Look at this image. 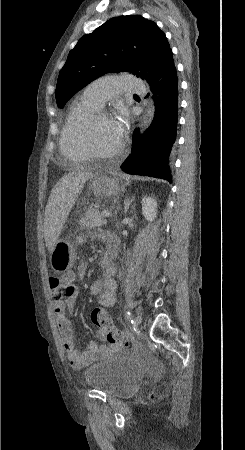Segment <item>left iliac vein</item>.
I'll list each match as a JSON object with an SVG mask.
<instances>
[{
    "label": "left iliac vein",
    "instance_id": "4c4485c4",
    "mask_svg": "<svg viewBox=\"0 0 245 450\" xmlns=\"http://www.w3.org/2000/svg\"><path fill=\"white\" fill-rule=\"evenodd\" d=\"M134 321H135V326L138 327L142 322V317L140 315H138V316H136Z\"/></svg>",
    "mask_w": 245,
    "mask_h": 450
}]
</instances>
